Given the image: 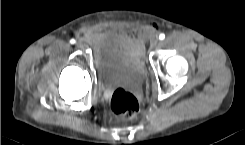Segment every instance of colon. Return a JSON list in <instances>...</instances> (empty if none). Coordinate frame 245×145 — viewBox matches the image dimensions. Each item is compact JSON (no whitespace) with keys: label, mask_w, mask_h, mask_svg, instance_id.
<instances>
[{"label":"colon","mask_w":245,"mask_h":145,"mask_svg":"<svg viewBox=\"0 0 245 145\" xmlns=\"http://www.w3.org/2000/svg\"><path fill=\"white\" fill-rule=\"evenodd\" d=\"M110 108L116 116L132 118L139 112L140 103L129 90L117 86L110 96Z\"/></svg>","instance_id":"colon-1"}]
</instances>
